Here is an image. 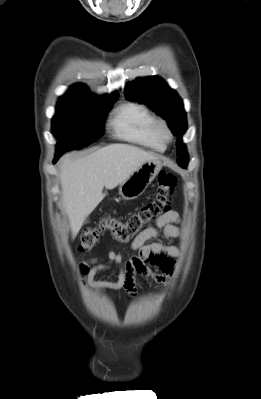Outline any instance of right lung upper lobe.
I'll use <instances>...</instances> for the list:
<instances>
[{
    "label": "right lung upper lobe",
    "mask_w": 261,
    "mask_h": 399,
    "mask_svg": "<svg viewBox=\"0 0 261 399\" xmlns=\"http://www.w3.org/2000/svg\"><path fill=\"white\" fill-rule=\"evenodd\" d=\"M119 93L116 91L111 95H104V96H96L90 92H88L87 88L84 84H76L70 87V90L63 95L60 100L61 101H82V100H90V99H111V98H118Z\"/></svg>",
    "instance_id": "obj_1"
}]
</instances>
